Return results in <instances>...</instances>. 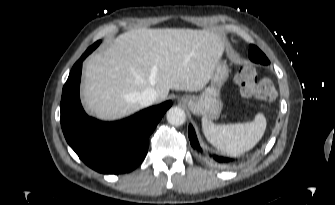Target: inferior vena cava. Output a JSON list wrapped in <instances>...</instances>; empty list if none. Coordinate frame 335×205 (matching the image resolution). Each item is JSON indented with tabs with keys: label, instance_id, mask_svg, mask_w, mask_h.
Returning a JSON list of instances; mask_svg holds the SVG:
<instances>
[{
	"label": "inferior vena cava",
	"instance_id": "inferior-vena-cava-1",
	"mask_svg": "<svg viewBox=\"0 0 335 205\" xmlns=\"http://www.w3.org/2000/svg\"><path fill=\"white\" fill-rule=\"evenodd\" d=\"M157 99V92L154 88H147L137 96V101L141 106H149Z\"/></svg>",
	"mask_w": 335,
	"mask_h": 205
}]
</instances>
